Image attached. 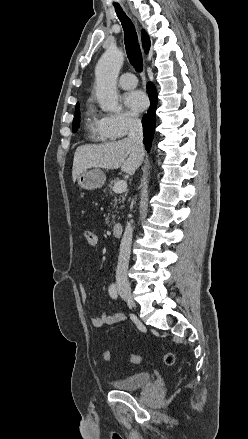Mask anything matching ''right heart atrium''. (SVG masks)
<instances>
[{
    "mask_svg": "<svg viewBox=\"0 0 248 439\" xmlns=\"http://www.w3.org/2000/svg\"><path fill=\"white\" fill-rule=\"evenodd\" d=\"M104 131L113 138H121L136 129L140 120L136 114L129 111H119L101 117Z\"/></svg>",
    "mask_w": 248,
    "mask_h": 439,
    "instance_id": "right-heart-atrium-1",
    "label": "right heart atrium"
}]
</instances>
